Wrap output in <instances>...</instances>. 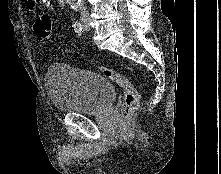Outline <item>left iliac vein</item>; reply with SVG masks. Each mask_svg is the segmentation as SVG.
Returning <instances> with one entry per match:
<instances>
[{
  "mask_svg": "<svg viewBox=\"0 0 221 174\" xmlns=\"http://www.w3.org/2000/svg\"><path fill=\"white\" fill-rule=\"evenodd\" d=\"M83 26H84V29H85L86 31H89V30H90V26H89L88 20H85V21H84Z\"/></svg>",
  "mask_w": 221,
  "mask_h": 174,
  "instance_id": "left-iliac-vein-1",
  "label": "left iliac vein"
}]
</instances>
